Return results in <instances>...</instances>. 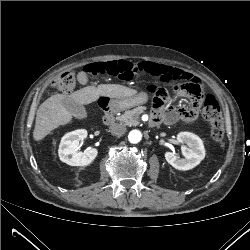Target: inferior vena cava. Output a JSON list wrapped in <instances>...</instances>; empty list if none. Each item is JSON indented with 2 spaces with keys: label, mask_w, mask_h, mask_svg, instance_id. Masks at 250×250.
<instances>
[{
  "label": "inferior vena cava",
  "mask_w": 250,
  "mask_h": 250,
  "mask_svg": "<svg viewBox=\"0 0 250 250\" xmlns=\"http://www.w3.org/2000/svg\"><path fill=\"white\" fill-rule=\"evenodd\" d=\"M109 131L112 135L122 136L126 132V127L122 124H113L110 126Z\"/></svg>",
  "instance_id": "inferior-vena-cava-1"
}]
</instances>
